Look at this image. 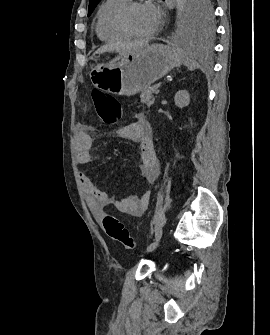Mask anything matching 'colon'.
Instances as JSON below:
<instances>
[{
  "label": "colon",
  "mask_w": 270,
  "mask_h": 335,
  "mask_svg": "<svg viewBox=\"0 0 270 335\" xmlns=\"http://www.w3.org/2000/svg\"><path fill=\"white\" fill-rule=\"evenodd\" d=\"M91 100L100 119L106 125L118 122L121 117L119 101L104 90L91 89ZM103 226L107 235L126 250H135V243L128 229L115 214L108 212L103 217Z\"/></svg>",
  "instance_id": "5ec220e1"
}]
</instances>
